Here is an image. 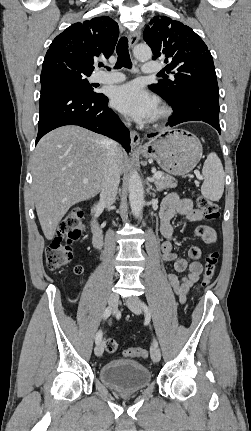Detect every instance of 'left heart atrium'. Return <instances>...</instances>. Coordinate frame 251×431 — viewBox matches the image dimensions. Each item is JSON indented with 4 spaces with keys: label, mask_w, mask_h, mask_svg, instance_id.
Listing matches in <instances>:
<instances>
[{
    "label": "left heart atrium",
    "mask_w": 251,
    "mask_h": 431,
    "mask_svg": "<svg viewBox=\"0 0 251 431\" xmlns=\"http://www.w3.org/2000/svg\"><path fill=\"white\" fill-rule=\"evenodd\" d=\"M111 104L118 111L138 121L151 119L157 110L156 99L136 82L116 87L111 95Z\"/></svg>",
    "instance_id": "obj_1"
}]
</instances>
